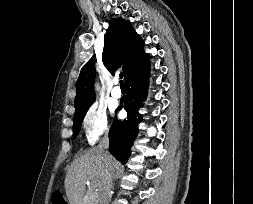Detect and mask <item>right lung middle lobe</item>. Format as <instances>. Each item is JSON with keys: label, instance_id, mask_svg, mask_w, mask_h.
<instances>
[{"label": "right lung middle lobe", "instance_id": "1", "mask_svg": "<svg viewBox=\"0 0 253 204\" xmlns=\"http://www.w3.org/2000/svg\"><path fill=\"white\" fill-rule=\"evenodd\" d=\"M90 106L86 107L85 109L79 111L77 114L74 115V126H73V135L76 137L80 131V127L84 116Z\"/></svg>", "mask_w": 253, "mask_h": 204}]
</instances>
